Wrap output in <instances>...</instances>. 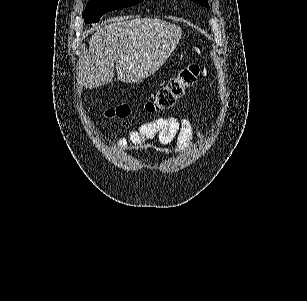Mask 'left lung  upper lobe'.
<instances>
[{
    "instance_id": "left-lung-upper-lobe-1",
    "label": "left lung upper lobe",
    "mask_w": 307,
    "mask_h": 301,
    "mask_svg": "<svg viewBox=\"0 0 307 301\" xmlns=\"http://www.w3.org/2000/svg\"><path fill=\"white\" fill-rule=\"evenodd\" d=\"M194 1H196L197 3H199L202 6L209 8L207 0H194Z\"/></svg>"
}]
</instances>
